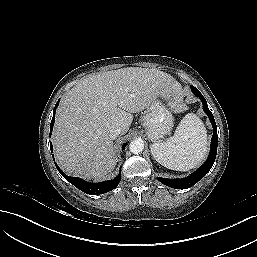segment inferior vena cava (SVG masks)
Returning <instances> with one entry per match:
<instances>
[{"label": "inferior vena cava", "mask_w": 257, "mask_h": 257, "mask_svg": "<svg viewBox=\"0 0 257 257\" xmlns=\"http://www.w3.org/2000/svg\"><path fill=\"white\" fill-rule=\"evenodd\" d=\"M122 133V130L120 127H115L111 131V136L115 139L118 135Z\"/></svg>", "instance_id": "1"}]
</instances>
